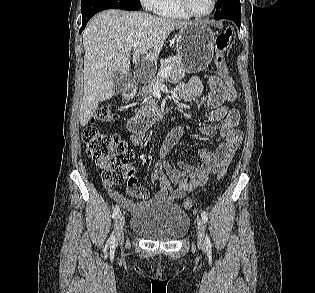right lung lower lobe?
<instances>
[{
	"instance_id": "1",
	"label": "right lung lower lobe",
	"mask_w": 315,
	"mask_h": 293,
	"mask_svg": "<svg viewBox=\"0 0 315 293\" xmlns=\"http://www.w3.org/2000/svg\"><path fill=\"white\" fill-rule=\"evenodd\" d=\"M111 8L139 10L141 9V5L138 0H82V27L80 33L94 14Z\"/></svg>"
}]
</instances>
